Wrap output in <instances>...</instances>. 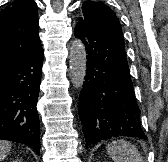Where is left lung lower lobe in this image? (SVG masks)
<instances>
[{"instance_id": "0a47b994", "label": "left lung lower lobe", "mask_w": 168, "mask_h": 162, "mask_svg": "<svg viewBox=\"0 0 168 162\" xmlns=\"http://www.w3.org/2000/svg\"><path fill=\"white\" fill-rule=\"evenodd\" d=\"M74 34L82 40L87 53L79 97L86 147L118 136L146 140L124 43L87 20H78Z\"/></svg>"}]
</instances>
